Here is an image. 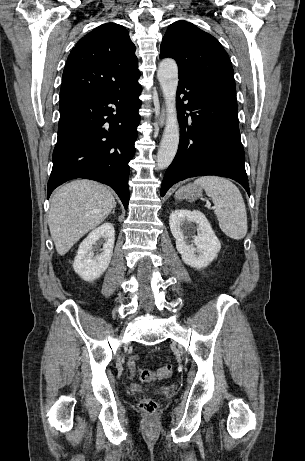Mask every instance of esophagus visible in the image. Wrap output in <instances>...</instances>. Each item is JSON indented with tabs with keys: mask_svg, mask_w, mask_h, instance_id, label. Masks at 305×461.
I'll list each match as a JSON object with an SVG mask.
<instances>
[{
	"mask_svg": "<svg viewBox=\"0 0 305 461\" xmlns=\"http://www.w3.org/2000/svg\"><path fill=\"white\" fill-rule=\"evenodd\" d=\"M165 118H166V111H165V108L162 107V109H161V111H160V113H159V115H158V118H157V120H158V125H159L160 127H163V126H164V124H165Z\"/></svg>",
	"mask_w": 305,
	"mask_h": 461,
	"instance_id": "34e87169",
	"label": "esophagus"
}]
</instances>
